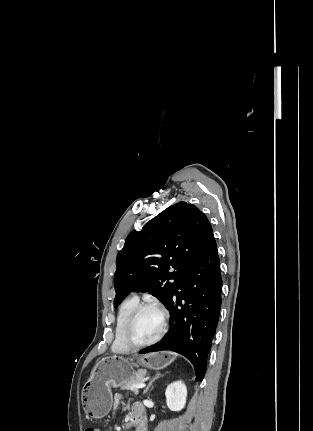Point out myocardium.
Here are the masks:
<instances>
[{"mask_svg": "<svg viewBox=\"0 0 313 431\" xmlns=\"http://www.w3.org/2000/svg\"><path fill=\"white\" fill-rule=\"evenodd\" d=\"M146 308H154L160 313L162 318V325L158 334L154 338H152L147 342L137 343L132 339L131 333L135 325V322L137 320V317ZM167 323H168V314L160 304L152 301L141 302L132 310V312L130 313L126 321L124 331H123V341L130 349H141V348L151 346L156 342H158L163 337L167 329Z\"/></svg>", "mask_w": 313, "mask_h": 431, "instance_id": "obj_1", "label": "myocardium"}]
</instances>
